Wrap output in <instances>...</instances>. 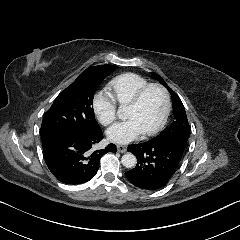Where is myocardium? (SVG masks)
<instances>
[{"mask_svg":"<svg viewBox=\"0 0 240 240\" xmlns=\"http://www.w3.org/2000/svg\"><path fill=\"white\" fill-rule=\"evenodd\" d=\"M152 88H156L162 93V96H163V112H162V116H161L160 121L158 122V124L154 128H152L149 131H143L142 132V135L147 136V137L154 136L157 133H159L164 128V126L167 122V119H168V116H169V113H170V107H171L170 96H169V93H168L167 89L164 86H162L161 84L149 83V84L141 87L136 92V94L133 97V99L131 100V102L128 103L124 107V110H131V109L137 108L140 105L144 94Z\"/></svg>","mask_w":240,"mask_h":240,"instance_id":"myocardium-1","label":"myocardium"}]
</instances>
